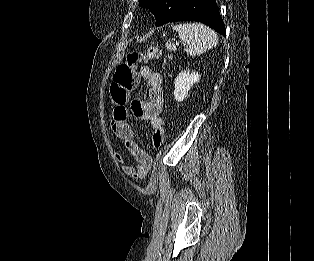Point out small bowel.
<instances>
[{
  "label": "small bowel",
  "mask_w": 314,
  "mask_h": 261,
  "mask_svg": "<svg viewBox=\"0 0 314 261\" xmlns=\"http://www.w3.org/2000/svg\"><path fill=\"white\" fill-rule=\"evenodd\" d=\"M139 77L147 82L148 100L135 99L131 102L130 109L126 103L113 105L111 119L113 133L121 140L124 148L134 161V163L129 162L123 153H119L117 156L122 163V171L136 181L146 177L152 167L153 159L139 144L128 119L133 116L147 120L154 129L163 126L164 121L160 114L165 101L163 78L159 73L143 66L140 68Z\"/></svg>",
  "instance_id": "small-bowel-1"
}]
</instances>
